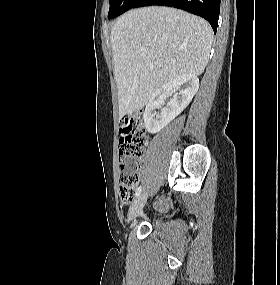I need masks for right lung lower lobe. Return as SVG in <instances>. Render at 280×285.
<instances>
[{
    "label": "right lung lower lobe",
    "mask_w": 280,
    "mask_h": 285,
    "mask_svg": "<svg viewBox=\"0 0 280 285\" xmlns=\"http://www.w3.org/2000/svg\"><path fill=\"white\" fill-rule=\"evenodd\" d=\"M151 5L176 7L199 15L211 24L214 33L217 31L220 0H137L132 8Z\"/></svg>",
    "instance_id": "98d812e1"
}]
</instances>
